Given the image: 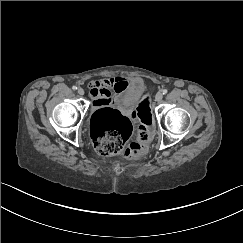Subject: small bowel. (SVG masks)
<instances>
[{
	"label": "small bowel",
	"mask_w": 243,
	"mask_h": 243,
	"mask_svg": "<svg viewBox=\"0 0 243 243\" xmlns=\"http://www.w3.org/2000/svg\"><path fill=\"white\" fill-rule=\"evenodd\" d=\"M127 84L128 80L119 76L93 81L89 87L93 106L101 107L111 103H120ZM112 91H114L115 97Z\"/></svg>",
	"instance_id": "small-bowel-1"
}]
</instances>
